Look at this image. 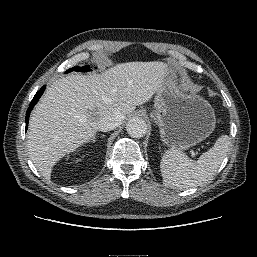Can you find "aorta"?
I'll return each mask as SVG.
<instances>
[{
	"instance_id": "1",
	"label": "aorta",
	"mask_w": 257,
	"mask_h": 257,
	"mask_svg": "<svg viewBox=\"0 0 257 257\" xmlns=\"http://www.w3.org/2000/svg\"><path fill=\"white\" fill-rule=\"evenodd\" d=\"M128 134L133 138H141L147 132L146 122L140 117H132L126 125Z\"/></svg>"
}]
</instances>
